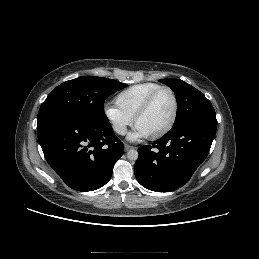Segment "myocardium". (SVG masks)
<instances>
[{"label":"myocardium","instance_id":"myocardium-1","mask_svg":"<svg viewBox=\"0 0 259 259\" xmlns=\"http://www.w3.org/2000/svg\"><path fill=\"white\" fill-rule=\"evenodd\" d=\"M163 90L170 92V94L172 95L173 102H174L173 114H172V117H171L170 121L168 122V124L162 130H160L159 132H157L153 135L148 136V138H150L152 140H156V139L163 137L173 128V126L177 120L178 112H179V100H178L176 92L169 86H160V87L156 88L154 91H152L147 96V98L144 100V102L142 103V105L140 106V108L138 109V111L136 112V114L133 118V123L136 126L138 120L148 112L156 95Z\"/></svg>","mask_w":259,"mask_h":259}]
</instances>
